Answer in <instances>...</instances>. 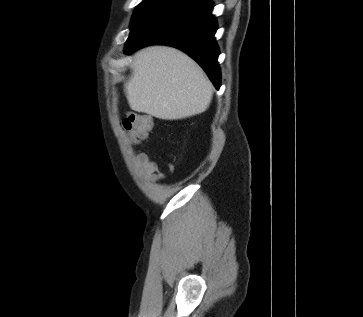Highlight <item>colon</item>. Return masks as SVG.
<instances>
[{
    "instance_id": "obj_1",
    "label": "colon",
    "mask_w": 363,
    "mask_h": 317,
    "mask_svg": "<svg viewBox=\"0 0 363 317\" xmlns=\"http://www.w3.org/2000/svg\"><path fill=\"white\" fill-rule=\"evenodd\" d=\"M121 125L123 130L129 135L130 142L137 143L147 137L152 128L153 121L148 115L129 112L124 116Z\"/></svg>"
}]
</instances>
